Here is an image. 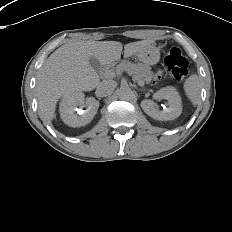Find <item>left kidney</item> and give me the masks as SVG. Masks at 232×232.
I'll use <instances>...</instances> for the list:
<instances>
[{"label": "left kidney", "mask_w": 232, "mask_h": 232, "mask_svg": "<svg viewBox=\"0 0 232 232\" xmlns=\"http://www.w3.org/2000/svg\"><path fill=\"white\" fill-rule=\"evenodd\" d=\"M153 99H166L168 101V108L159 111L156 108V103H154V101L143 100L141 102V107L144 110V112L151 118L159 121H170L178 118L181 115V98L174 87L168 86L160 89L159 91L154 93Z\"/></svg>", "instance_id": "obj_1"}]
</instances>
